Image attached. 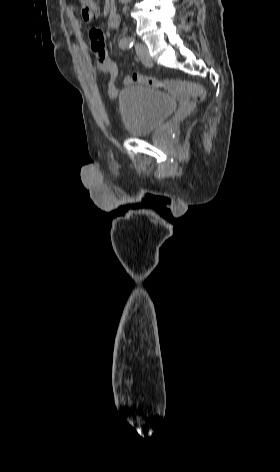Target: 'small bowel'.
Returning a JSON list of instances; mask_svg holds the SVG:
<instances>
[{
    "label": "small bowel",
    "instance_id": "1",
    "mask_svg": "<svg viewBox=\"0 0 280 472\" xmlns=\"http://www.w3.org/2000/svg\"><path fill=\"white\" fill-rule=\"evenodd\" d=\"M89 38L91 50L95 57L94 71L108 75V96L110 101H113L118 95V89L116 87V80L119 74L118 66L107 56L104 42L105 34L100 28L92 27L89 30ZM130 82L131 77L127 76L124 83L129 84Z\"/></svg>",
    "mask_w": 280,
    "mask_h": 472
}]
</instances>
